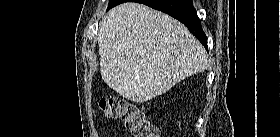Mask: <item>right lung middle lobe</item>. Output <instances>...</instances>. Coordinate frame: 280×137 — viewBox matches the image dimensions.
Here are the masks:
<instances>
[{
  "mask_svg": "<svg viewBox=\"0 0 280 137\" xmlns=\"http://www.w3.org/2000/svg\"><path fill=\"white\" fill-rule=\"evenodd\" d=\"M124 0H110L108 10L120 3H122Z\"/></svg>",
  "mask_w": 280,
  "mask_h": 137,
  "instance_id": "obj_1",
  "label": "right lung middle lobe"
}]
</instances>
